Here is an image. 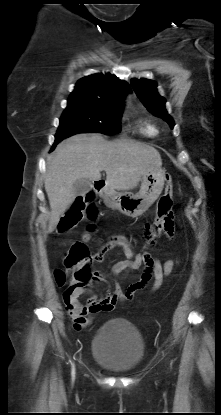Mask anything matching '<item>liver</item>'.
<instances>
[{
  "mask_svg": "<svg viewBox=\"0 0 221 415\" xmlns=\"http://www.w3.org/2000/svg\"><path fill=\"white\" fill-rule=\"evenodd\" d=\"M161 166L155 148L133 140L106 141L100 134H77L62 141L48 161L44 182L51 209L48 232L55 230L74 202L77 179L99 180L104 170L107 189L128 191L146 172Z\"/></svg>",
  "mask_w": 221,
  "mask_h": 415,
  "instance_id": "obj_1",
  "label": "liver"
}]
</instances>
